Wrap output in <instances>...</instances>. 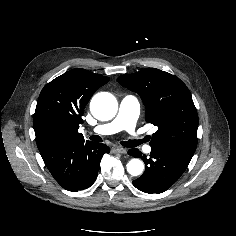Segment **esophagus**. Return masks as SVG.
Here are the masks:
<instances>
[{
    "mask_svg": "<svg viewBox=\"0 0 236 236\" xmlns=\"http://www.w3.org/2000/svg\"><path fill=\"white\" fill-rule=\"evenodd\" d=\"M112 152L113 153L126 154L127 153V149L123 148V147H113L112 148Z\"/></svg>",
    "mask_w": 236,
    "mask_h": 236,
    "instance_id": "esophagus-1",
    "label": "esophagus"
}]
</instances>
